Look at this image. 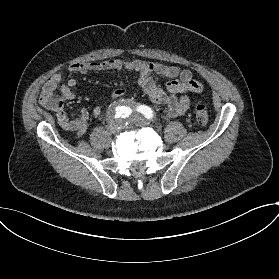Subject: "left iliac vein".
I'll return each instance as SVG.
<instances>
[{
	"label": "left iliac vein",
	"instance_id": "obj_1",
	"mask_svg": "<svg viewBox=\"0 0 279 279\" xmlns=\"http://www.w3.org/2000/svg\"><path fill=\"white\" fill-rule=\"evenodd\" d=\"M129 120H130V121H133V120H134V117H133V116H130V117H129ZM134 123H135L137 126H139V127H142V126H143V123H142L141 121H139L138 119H135V120H134Z\"/></svg>",
	"mask_w": 279,
	"mask_h": 279
}]
</instances>
